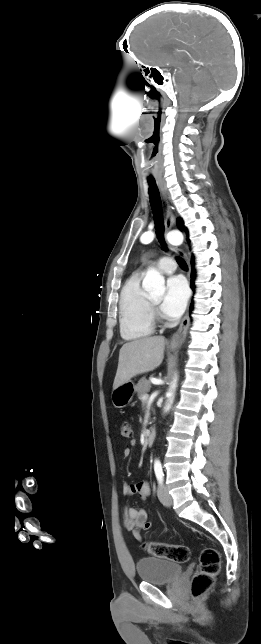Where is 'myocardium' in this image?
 I'll return each instance as SVG.
<instances>
[{
	"mask_svg": "<svg viewBox=\"0 0 261 644\" xmlns=\"http://www.w3.org/2000/svg\"><path fill=\"white\" fill-rule=\"evenodd\" d=\"M150 305H151V311H152V314H153V318L160 319L161 315H160V313L158 311L157 304L153 300H150Z\"/></svg>",
	"mask_w": 261,
	"mask_h": 644,
	"instance_id": "obj_1",
	"label": "myocardium"
}]
</instances>
